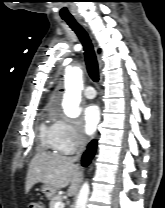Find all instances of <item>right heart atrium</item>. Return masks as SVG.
I'll list each match as a JSON object with an SVG mask.
<instances>
[{
	"label": "right heart atrium",
	"instance_id": "1",
	"mask_svg": "<svg viewBox=\"0 0 165 208\" xmlns=\"http://www.w3.org/2000/svg\"><path fill=\"white\" fill-rule=\"evenodd\" d=\"M84 140V136L75 121L64 115H57L51 125V141L59 153L69 155L75 152Z\"/></svg>",
	"mask_w": 165,
	"mask_h": 208
}]
</instances>
